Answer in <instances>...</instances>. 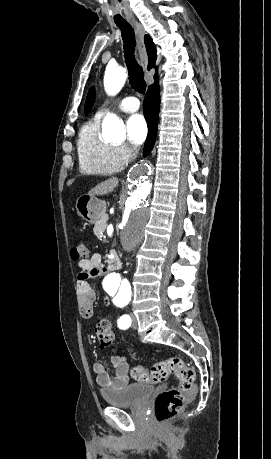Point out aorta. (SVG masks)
I'll use <instances>...</instances> for the list:
<instances>
[{
	"label": "aorta",
	"mask_w": 271,
	"mask_h": 459,
	"mask_svg": "<svg viewBox=\"0 0 271 459\" xmlns=\"http://www.w3.org/2000/svg\"><path fill=\"white\" fill-rule=\"evenodd\" d=\"M125 81L124 68H108L104 76L105 91L109 95H116ZM102 133L108 139L120 140L125 134L124 125L116 115L107 114L102 123ZM151 190V164L145 161L135 164L128 172L126 186L119 201L122 217L120 241L127 252L133 251L144 237L146 225L152 215ZM102 285L109 294L130 289L129 282L117 272L108 273Z\"/></svg>",
	"instance_id": "obj_1"
}]
</instances>
